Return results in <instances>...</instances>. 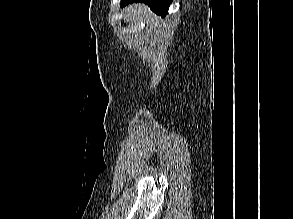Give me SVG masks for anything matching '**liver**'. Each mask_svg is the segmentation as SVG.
I'll use <instances>...</instances> for the list:
<instances>
[{"instance_id":"obj_1","label":"liver","mask_w":293,"mask_h":219,"mask_svg":"<svg viewBox=\"0 0 293 219\" xmlns=\"http://www.w3.org/2000/svg\"><path fill=\"white\" fill-rule=\"evenodd\" d=\"M136 17H140V19L145 17L146 20L150 22L157 21V17L154 16L144 4H132L126 7L124 21H133Z\"/></svg>"}]
</instances>
